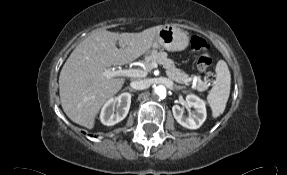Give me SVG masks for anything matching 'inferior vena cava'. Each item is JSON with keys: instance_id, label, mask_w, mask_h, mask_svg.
Wrapping results in <instances>:
<instances>
[{"instance_id": "obj_1", "label": "inferior vena cava", "mask_w": 287, "mask_h": 175, "mask_svg": "<svg viewBox=\"0 0 287 175\" xmlns=\"http://www.w3.org/2000/svg\"><path fill=\"white\" fill-rule=\"evenodd\" d=\"M130 86L136 90H144L150 86V82L148 80H137L131 82Z\"/></svg>"}]
</instances>
